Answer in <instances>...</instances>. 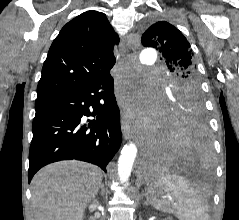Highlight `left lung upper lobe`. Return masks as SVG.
<instances>
[{"mask_svg":"<svg viewBox=\"0 0 239 220\" xmlns=\"http://www.w3.org/2000/svg\"><path fill=\"white\" fill-rule=\"evenodd\" d=\"M142 44L158 50L170 71L176 73L167 95V107L180 112L193 108L204 112L200 76L185 36L168 22L159 21L143 33Z\"/></svg>","mask_w":239,"mask_h":220,"instance_id":"obj_1","label":"left lung upper lobe"}]
</instances>
